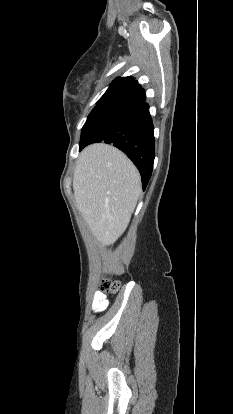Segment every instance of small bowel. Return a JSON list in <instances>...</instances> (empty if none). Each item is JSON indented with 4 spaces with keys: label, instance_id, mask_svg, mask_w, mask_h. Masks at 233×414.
Wrapping results in <instances>:
<instances>
[{
    "label": "small bowel",
    "instance_id": "1",
    "mask_svg": "<svg viewBox=\"0 0 233 414\" xmlns=\"http://www.w3.org/2000/svg\"><path fill=\"white\" fill-rule=\"evenodd\" d=\"M108 306V299L103 292H95L92 300V309L95 313L104 311Z\"/></svg>",
    "mask_w": 233,
    "mask_h": 414
}]
</instances>
